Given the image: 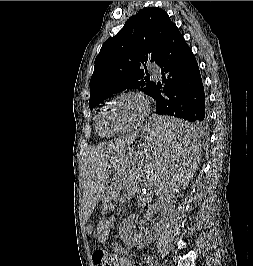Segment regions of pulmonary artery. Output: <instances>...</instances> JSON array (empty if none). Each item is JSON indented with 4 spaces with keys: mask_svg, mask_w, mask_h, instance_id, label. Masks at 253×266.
I'll list each match as a JSON object with an SVG mask.
<instances>
[{
    "mask_svg": "<svg viewBox=\"0 0 253 266\" xmlns=\"http://www.w3.org/2000/svg\"><path fill=\"white\" fill-rule=\"evenodd\" d=\"M148 70L154 78H158L160 76L161 72L159 67L151 66Z\"/></svg>",
    "mask_w": 253,
    "mask_h": 266,
    "instance_id": "obj_1",
    "label": "pulmonary artery"
}]
</instances>
